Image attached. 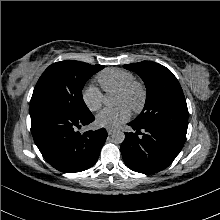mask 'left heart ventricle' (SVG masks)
I'll list each match as a JSON object with an SVG mask.
<instances>
[{
  "mask_svg": "<svg viewBox=\"0 0 220 220\" xmlns=\"http://www.w3.org/2000/svg\"><path fill=\"white\" fill-rule=\"evenodd\" d=\"M138 100L137 94H133L130 97H125L123 95H116V105H126L131 108L133 104H135Z\"/></svg>",
  "mask_w": 220,
  "mask_h": 220,
  "instance_id": "1",
  "label": "left heart ventricle"
}]
</instances>
